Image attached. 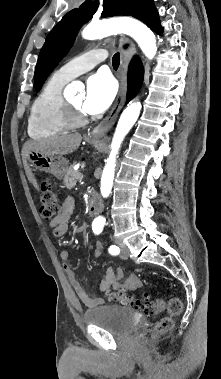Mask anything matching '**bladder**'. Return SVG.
Masks as SVG:
<instances>
[{
  "label": "bladder",
  "instance_id": "1",
  "mask_svg": "<svg viewBox=\"0 0 221 379\" xmlns=\"http://www.w3.org/2000/svg\"><path fill=\"white\" fill-rule=\"evenodd\" d=\"M83 318L87 324L100 326L118 336L128 335L139 323V318L132 309L113 304L88 309Z\"/></svg>",
  "mask_w": 221,
  "mask_h": 379
}]
</instances>
